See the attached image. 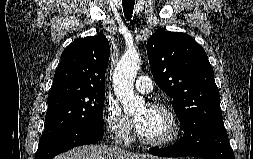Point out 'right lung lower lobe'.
<instances>
[{"mask_svg": "<svg viewBox=\"0 0 253 159\" xmlns=\"http://www.w3.org/2000/svg\"><path fill=\"white\" fill-rule=\"evenodd\" d=\"M104 135V129L80 128L63 134L42 147H38L35 159H52L54 156L73 147L93 144Z\"/></svg>", "mask_w": 253, "mask_h": 159, "instance_id": "right-lung-lower-lobe-1", "label": "right lung lower lobe"}]
</instances>
